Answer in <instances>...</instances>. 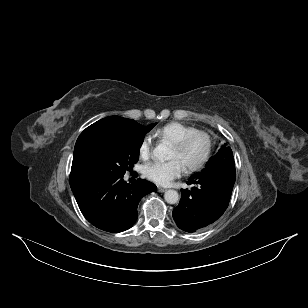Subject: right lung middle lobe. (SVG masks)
Returning <instances> with one entry per match:
<instances>
[{
  "instance_id": "right-lung-middle-lobe-1",
  "label": "right lung middle lobe",
  "mask_w": 308,
  "mask_h": 308,
  "mask_svg": "<svg viewBox=\"0 0 308 308\" xmlns=\"http://www.w3.org/2000/svg\"><path fill=\"white\" fill-rule=\"evenodd\" d=\"M156 123L137 125L128 132L114 133L94 140L86 154V170L90 178L123 177L137 163L144 135Z\"/></svg>"
}]
</instances>
